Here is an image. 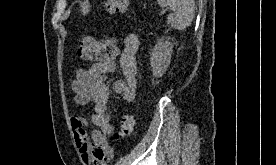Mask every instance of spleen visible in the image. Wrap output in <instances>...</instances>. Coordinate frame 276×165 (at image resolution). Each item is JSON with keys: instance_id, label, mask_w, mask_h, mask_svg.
I'll return each mask as SVG.
<instances>
[{"instance_id": "3e777b00", "label": "spleen", "mask_w": 276, "mask_h": 165, "mask_svg": "<svg viewBox=\"0 0 276 165\" xmlns=\"http://www.w3.org/2000/svg\"><path fill=\"white\" fill-rule=\"evenodd\" d=\"M162 7H169L172 11L167 16L168 25L177 30L189 27L194 17V0H157Z\"/></svg>"}]
</instances>
